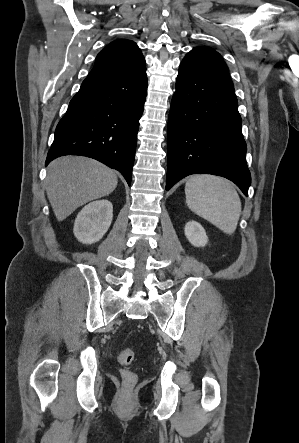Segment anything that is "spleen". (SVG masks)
<instances>
[{
	"label": "spleen",
	"mask_w": 299,
	"mask_h": 443,
	"mask_svg": "<svg viewBox=\"0 0 299 443\" xmlns=\"http://www.w3.org/2000/svg\"><path fill=\"white\" fill-rule=\"evenodd\" d=\"M185 194L191 211L227 234L235 232L241 202L229 181L208 175L192 176L186 182Z\"/></svg>",
	"instance_id": "3e777b00"
}]
</instances>
